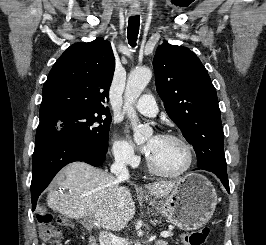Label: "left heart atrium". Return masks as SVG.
Returning a JSON list of instances; mask_svg holds the SVG:
<instances>
[{
    "label": "left heart atrium",
    "instance_id": "1",
    "mask_svg": "<svg viewBox=\"0 0 266 245\" xmlns=\"http://www.w3.org/2000/svg\"><path fill=\"white\" fill-rule=\"evenodd\" d=\"M158 136H154L151 139H149L142 147L141 151L149 158L150 155L153 153L157 141H158Z\"/></svg>",
    "mask_w": 266,
    "mask_h": 245
}]
</instances>
